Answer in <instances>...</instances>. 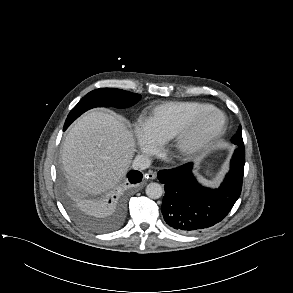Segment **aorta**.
<instances>
[{
	"instance_id": "1",
	"label": "aorta",
	"mask_w": 293,
	"mask_h": 293,
	"mask_svg": "<svg viewBox=\"0 0 293 293\" xmlns=\"http://www.w3.org/2000/svg\"><path fill=\"white\" fill-rule=\"evenodd\" d=\"M146 195L151 199H158L162 196L164 189L159 183H149L146 187Z\"/></svg>"
}]
</instances>
